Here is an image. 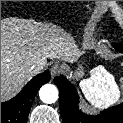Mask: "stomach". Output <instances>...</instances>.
<instances>
[{
  "mask_svg": "<svg viewBox=\"0 0 123 123\" xmlns=\"http://www.w3.org/2000/svg\"><path fill=\"white\" fill-rule=\"evenodd\" d=\"M82 76H83V71L81 69H78L74 74L75 78H80Z\"/></svg>",
  "mask_w": 123,
  "mask_h": 123,
  "instance_id": "stomach-1",
  "label": "stomach"
}]
</instances>
